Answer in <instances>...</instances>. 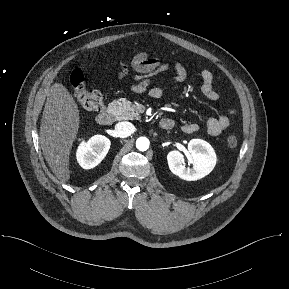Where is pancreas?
I'll return each mask as SVG.
<instances>
[{
	"label": "pancreas",
	"mask_w": 289,
	"mask_h": 289,
	"mask_svg": "<svg viewBox=\"0 0 289 289\" xmlns=\"http://www.w3.org/2000/svg\"><path fill=\"white\" fill-rule=\"evenodd\" d=\"M108 109L115 116L116 120H133L140 118L135 109V105L127 99L113 100L109 104Z\"/></svg>",
	"instance_id": "pancreas-1"
}]
</instances>
